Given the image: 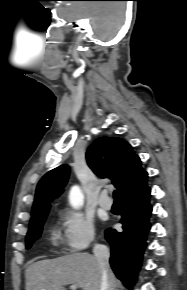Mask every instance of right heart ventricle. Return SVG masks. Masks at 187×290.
<instances>
[{
    "label": "right heart ventricle",
    "mask_w": 187,
    "mask_h": 290,
    "mask_svg": "<svg viewBox=\"0 0 187 290\" xmlns=\"http://www.w3.org/2000/svg\"><path fill=\"white\" fill-rule=\"evenodd\" d=\"M53 240H54V242L58 241V234L57 233H54Z\"/></svg>",
    "instance_id": "right-heart-ventricle-1"
}]
</instances>
